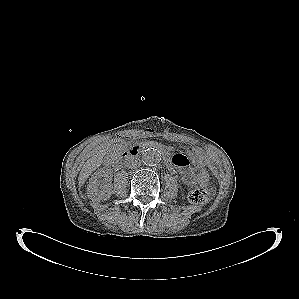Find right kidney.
Segmentation results:
<instances>
[{
    "label": "right kidney",
    "mask_w": 299,
    "mask_h": 299,
    "mask_svg": "<svg viewBox=\"0 0 299 299\" xmlns=\"http://www.w3.org/2000/svg\"><path fill=\"white\" fill-rule=\"evenodd\" d=\"M103 177L104 179L101 180ZM111 178L109 169H99L96 171L90 178L87 186L88 197L97 201L108 199L112 194Z\"/></svg>",
    "instance_id": "ca27d5eb"
}]
</instances>
